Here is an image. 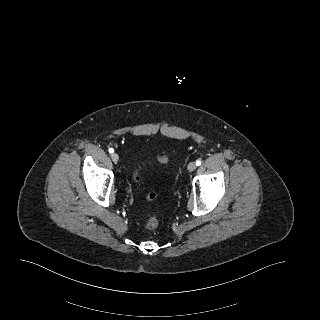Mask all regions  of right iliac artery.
<instances>
[{
	"label": "right iliac artery",
	"instance_id": "82829eb1",
	"mask_svg": "<svg viewBox=\"0 0 320 320\" xmlns=\"http://www.w3.org/2000/svg\"><path fill=\"white\" fill-rule=\"evenodd\" d=\"M113 152H114L113 148H110L109 153H113Z\"/></svg>",
	"mask_w": 320,
	"mask_h": 320
}]
</instances>
